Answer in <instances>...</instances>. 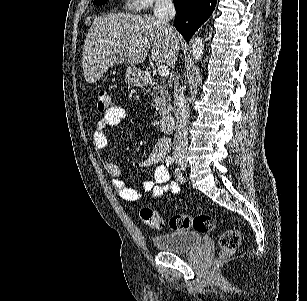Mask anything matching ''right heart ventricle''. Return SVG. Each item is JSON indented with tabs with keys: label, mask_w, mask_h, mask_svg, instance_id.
<instances>
[{
	"label": "right heart ventricle",
	"mask_w": 307,
	"mask_h": 301,
	"mask_svg": "<svg viewBox=\"0 0 307 301\" xmlns=\"http://www.w3.org/2000/svg\"><path fill=\"white\" fill-rule=\"evenodd\" d=\"M136 2H137V1H135V3H134L135 8H137V7H136Z\"/></svg>",
	"instance_id": "right-heart-ventricle-1"
}]
</instances>
